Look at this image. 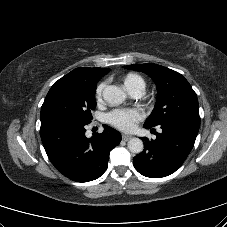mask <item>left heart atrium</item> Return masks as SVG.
<instances>
[{
    "mask_svg": "<svg viewBox=\"0 0 227 227\" xmlns=\"http://www.w3.org/2000/svg\"><path fill=\"white\" fill-rule=\"evenodd\" d=\"M107 121L113 126L129 131L135 124L143 118V113L136 108L133 109H115L106 116Z\"/></svg>",
    "mask_w": 227,
    "mask_h": 227,
    "instance_id": "39dd6f15",
    "label": "left heart atrium"
}]
</instances>
